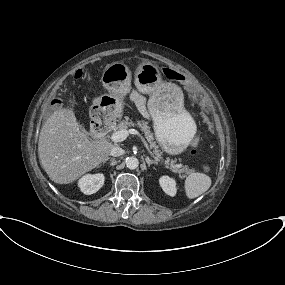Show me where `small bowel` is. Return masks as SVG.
Instances as JSON below:
<instances>
[{"instance_id": "c3829d8e", "label": "small bowel", "mask_w": 285, "mask_h": 285, "mask_svg": "<svg viewBox=\"0 0 285 285\" xmlns=\"http://www.w3.org/2000/svg\"><path fill=\"white\" fill-rule=\"evenodd\" d=\"M133 101H134L135 103L139 104L140 101H141L140 96H139V95H134V96H133Z\"/></svg>"}]
</instances>
